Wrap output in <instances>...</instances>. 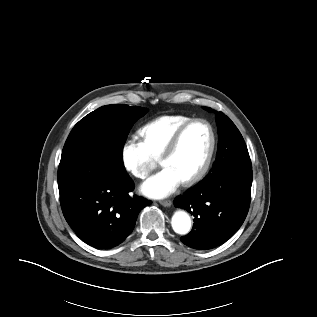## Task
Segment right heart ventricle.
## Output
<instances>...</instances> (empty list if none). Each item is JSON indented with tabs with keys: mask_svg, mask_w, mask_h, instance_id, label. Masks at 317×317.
<instances>
[{
	"mask_svg": "<svg viewBox=\"0 0 317 317\" xmlns=\"http://www.w3.org/2000/svg\"><path fill=\"white\" fill-rule=\"evenodd\" d=\"M190 120L184 115L160 116L140 128L139 134L150 154L159 159L177 130Z\"/></svg>",
	"mask_w": 317,
	"mask_h": 317,
	"instance_id": "obj_1",
	"label": "right heart ventricle"
}]
</instances>
